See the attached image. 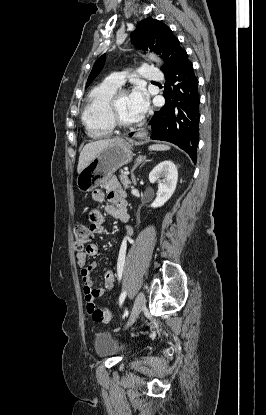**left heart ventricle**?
Returning a JSON list of instances; mask_svg holds the SVG:
<instances>
[{
  "label": "left heart ventricle",
  "mask_w": 266,
  "mask_h": 415,
  "mask_svg": "<svg viewBox=\"0 0 266 415\" xmlns=\"http://www.w3.org/2000/svg\"><path fill=\"white\" fill-rule=\"evenodd\" d=\"M116 108L119 117L126 123H133L141 118L132 108L128 94H124L118 98Z\"/></svg>",
  "instance_id": "left-heart-ventricle-1"
}]
</instances>
